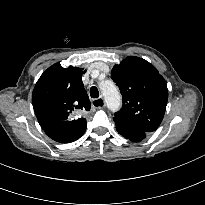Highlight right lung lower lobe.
<instances>
[{"instance_id": "1", "label": "right lung lower lobe", "mask_w": 205, "mask_h": 205, "mask_svg": "<svg viewBox=\"0 0 205 205\" xmlns=\"http://www.w3.org/2000/svg\"><path fill=\"white\" fill-rule=\"evenodd\" d=\"M44 131H45V133H46L50 138H52L53 140H55V141H57V142H60V140H58V139L56 138V136H54V134H55L56 131H57V128L52 127V128L45 129ZM61 143H63V142H61Z\"/></svg>"}]
</instances>
